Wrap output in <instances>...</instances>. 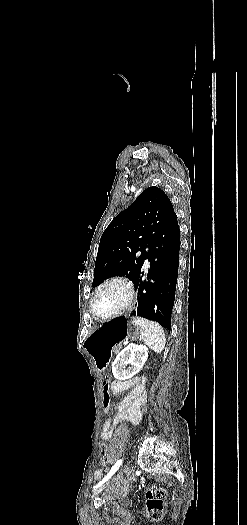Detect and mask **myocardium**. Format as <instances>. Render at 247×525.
<instances>
[{"label":"myocardium","instance_id":"1","mask_svg":"<svg viewBox=\"0 0 247 525\" xmlns=\"http://www.w3.org/2000/svg\"><path fill=\"white\" fill-rule=\"evenodd\" d=\"M112 284L121 285L125 287L128 291V297L126 301L120 307L112 311L106 312V313H100L95 308L96 296L101 291L102 288H104L107 285H112ZM134 294H135L134 284L129 278L122 276V275H115V276L109 277L105 279L104 281H102L101 283H99V285L96 287L95 291L93 292L91 301H90L91 312L93 316L96 317L97 319H109L117 315H120L124 313L128 309V307L131 305L133 298H134Z\"/></svg>","mask_w":247,"mask_h":525}]
</instances>
